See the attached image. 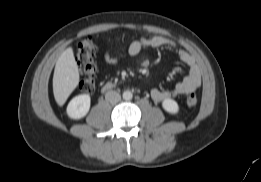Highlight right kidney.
<instances>
[{
	"label": "right kidney",
	"instance_id": "1",
	"mask_svg": "<svg viewBox=\"0 0 261 182\" xmlns=\"http://www.w3.org/2000/svg\"><path fill=\"white\" fill-rule=\"evenodd\" d=\"M90 96L81 94L74 97L67 106V115L72 119H81L90 109Z\"/></svg>",
	"mask_w": 261,
	"mask_h": 182
}]
</instances>
